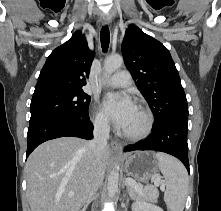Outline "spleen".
Returning <instances> with one entry per match:
<instances>
[{
    "mask_svg": "<svg viewBox=\"0 0 221 211\" xmlns=\"http://www.w3.org/2000/svg\"><path fill=\"white\" fill-rule=\"evenodd\" d=\"M155 157L165 180L166 205L171 211H183L188 194V174L185 167L179 160L168 154L158 152ZM144 189L153 198L159 196L158 190L152 185H147Z\"/></svg>",
    "mask_w": 221,
    "mask_h": 211,
    "instance_id": "obj_1",
    "label": "spleen"
}]
</instances>
